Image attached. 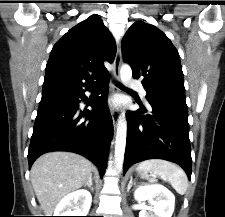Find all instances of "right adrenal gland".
Returning a JSON list of instances; mask_svg holds the SVG:
<instances>
[{
	"mask_svg": "<svg viewBox=\"0 0 225 217\" xmlns=\"http://www.w3.org/2000/svg\"><path fill=\"white\" fill-rule=\"evenodd\" d=\"M92 185L93 183H92V174H91L89 177V180L84 184V187L88 186L93 191Z\"/></svg>",
	"mask_w": 225,
	"mask_h": 217,
	"instance_id": "obj_1",
	"label": "right adrenal gland"
}]
</instances>
